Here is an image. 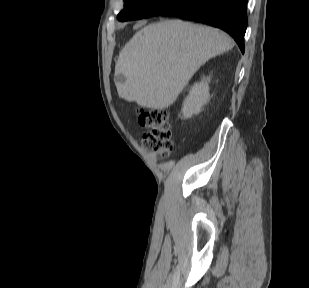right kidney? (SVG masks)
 I'll return each instance as SVG.
<instances>
[{
  "label": "right kidney",
  "mask_w": 309,
  "mask_h": 288,
  "mask_svg": "<svg viewBox=\"0 0 309 288\" xmlns=\"http://www.w3.org/2000/svg\"><path fill=\"white\" fill-rule=\"evenodd\" d=\"M210 78H203L200 83H196L191 88L189 95L183 102L182 114L184 119L200 113L202 106L209 100Z\"/></svg>",
  "instance_id": "ca27d5eb"
}]
</instances>
